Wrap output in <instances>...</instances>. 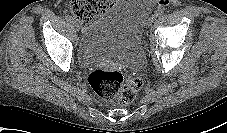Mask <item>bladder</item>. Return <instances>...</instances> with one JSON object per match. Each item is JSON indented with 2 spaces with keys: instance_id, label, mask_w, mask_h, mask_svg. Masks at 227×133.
Masks as SVG:
<instances>
[{
  "instance_id": "obj_1",
  "label": "bladder",
  "mask_w": 227,
  "mask_h": 133,
  "mask_svg": "<svg viewBox=\"0 0 227 133\" xmlns=\"http://www.w3.org/2000/svg\"><path fill=\"white\" fill-rule=\"evenodd\" d=\"M152 7L153 0H117L83 30L77 46L79 63H116L141 69L143 28Z\"/></svg>"
}]
</instances>
